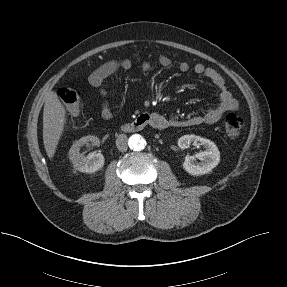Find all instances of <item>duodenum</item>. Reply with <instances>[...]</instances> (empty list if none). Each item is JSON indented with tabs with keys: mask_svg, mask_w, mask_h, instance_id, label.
I'll use <instances>...</instances> for the list:
<instances>
[{
	"mask_svg": "<svg viewBox=\"0 0 287 287\" xmlns=\"http://www.w3.org/2000/svg\"><path fill=\"white\" fill-rule=\"evenodd\" d=\"M158 124V119L152 114H141L133 121L126 123L122 126L124 132H135L144 129L147 126L156 127Z\"/></svg>",
	"mask_w": 287,
	"mask_h": 287,
	"instance_id": "410a0bca",
	"label": "duodenum"
}]
</instances>
